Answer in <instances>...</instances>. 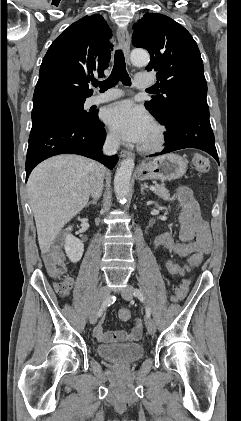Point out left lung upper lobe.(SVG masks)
Masks as SVG:
<instances>
[{
  "label": "left lung upper lobe",
  "mask_w": 241,
  "mask_h": 421,
  "mask_svg": "<svg viewBox=\"0 0 241 421\" xmlns=\"http://www.w3.org/2000/svg\"><path fill=\"white\" fill-rule=\"evenodd\" d=\"M132 44L147 49V71H156L157 96L146 101L149 112L168 131L192 104H207V83L200 51L191 34L168 16L146 13L133 25ZM161 91V94H160Z\"/></svg>",
  "instance_id": "1"
}]
</instances>
